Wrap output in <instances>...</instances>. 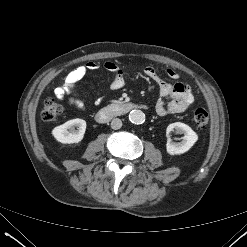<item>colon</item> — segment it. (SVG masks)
<instances>
[{
    "label": "colon",
    "instance_id": "colon-1",
    "mask_svg": "<svg viewBox=\"0 0 247 247\" xmlns=\"http://www.w3.org/2000/svg\"><path fill=\"white\" fill-rule=\"evenodd\" d=\"M62 112V107L54 99L47 98L44 101L42 119L46 122L54 121ZM194 126L198 130L206 129L209 123L208 112L204 108H197L193 113Z\"/></svg>",
    "mask_w": 247,
    "mask_h": 247
}]
</instances>
